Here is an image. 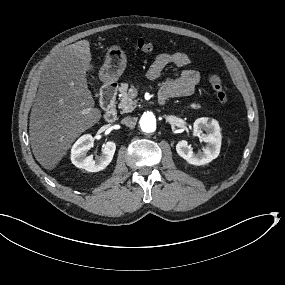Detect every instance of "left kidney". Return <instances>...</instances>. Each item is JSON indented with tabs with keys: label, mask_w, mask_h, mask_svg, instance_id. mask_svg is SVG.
<instances>
[{
	"label": "left kidney",
	"mask_w": 285,
	"mask_h": 285,
	"mask_svg": "<svg viewBox=\"0 0 285 285\" xmlns=\"http://www.w3.org/2000/svg\"><path fill=\"white\" fill-rule=\"evenodd\" d=\"M202 129L207 134L202 133ZM194 135L199 136L201 141L207 143L200 154H194L192 148L186 140L179 141L176 145V151L183 159L193 165H204L217 158L221 148V130L217 120L208 117H202L195 120L193 124Z\"/></svg>",
	"instance_id": "left-kidney-1"
}]
</instances>
